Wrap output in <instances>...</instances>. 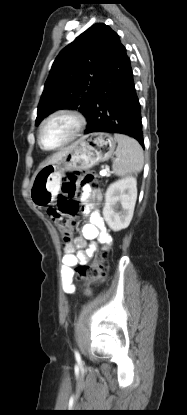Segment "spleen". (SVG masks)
Listing matches in <instances>:
<instances>
[{
	"mask_svg": "<svg viewBox=\"0 0 187 415\" xmlns=\"http://www.w3.org/2000/svg\"><path fill=\"white\" fill-rule=\"evenodd\" d=\"M118 143L116 159L113 161V173L117 176H126L139 173L144 165V155L140 144L133 138L114 134Z\"/></svg>",
	"mask_w": 187,
	"mask_h": 415,
	"instance_id": "1",
	"label": "spleen"
}]
</instances>
